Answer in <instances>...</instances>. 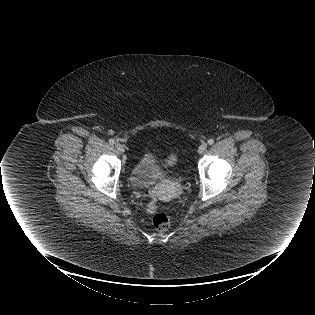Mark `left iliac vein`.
I'll return each mask as SVG.
<instances>
[{"instance_id": "left-iliac-vein-1", "label": "left iliac vein", "mask_w": 315, "mask_h": 315, "mask_svg": "<svg viewBox=\"0 0 315 315\" xmlns=\"http://www.w3.org/2000/svg\"><path fill=\"white\" fill-rule=\"evenodd\" d=\"M206 149H207V143H202L200 146H199V148H198V152L200 153V154H202V153H204L205 151H206Z\"/></svg>"}]
</instances>
